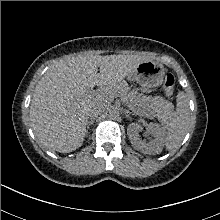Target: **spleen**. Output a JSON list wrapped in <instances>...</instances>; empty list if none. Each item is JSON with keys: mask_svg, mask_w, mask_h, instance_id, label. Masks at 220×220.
<instances>
[{"mask_svg": "<svg viewBox=\"0 0 220 220\" xmlns=\"http://www.w3.org/2000/svg\"><path fill=\"white\" fill-rule=\"evenodd\" d=\"M190 114L187 98L184 93L178 94L177 108L167 123L168 131L165 137V147L168 151L180 147L189 127Z\"/></svg>", "mask_w": 220, "mask_h": 220, "instance_id": "spleen-1", "label": "spleen"}]
</instances>
